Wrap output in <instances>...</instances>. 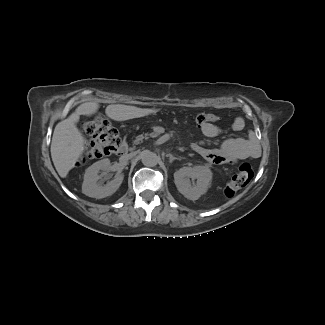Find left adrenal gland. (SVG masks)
I'll use <instances>...</instances> for the list:
<instances>
[{
	"mask_svg": "<svg viewBox=\"0 0 325 325\" xmlns=\"http://www.w3.org/2000/svg\"><path fill=\"white\" fill-rule=\"evenodd\" d=\"M166 156L169 157V159H170L169 162H170V163H172L174 160H181V159H182V157H174V156H173L172 154H170V153L167 154Z\"/></svg>",
	"mask_w": 325,
	"mask_h": 325,
	"instance_id": "obj_1",
	"label": "left adrenal gland"
}]
</instances>
